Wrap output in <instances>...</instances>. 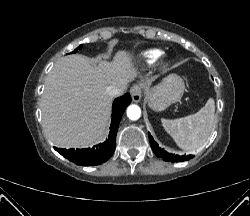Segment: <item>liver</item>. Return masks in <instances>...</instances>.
I'll use <instances>...</instances> for the list:
<instances>
[{"label": "liver", "mask_w": 250, "mask_h": 216, "mask_svg": "<svg viewBox=\"0 0 250 216\" xmlns=\"http://www.w3.org/2000/svg\"><path fill=\"white\" fill-rule=\"evenodd\" d=\"M132 57L119 51L112 62L96 65L83 55H68L55 63L41 100L42 126L60 148L87 147L104 132L112 106L107 87L126 88L136 78ZM149 82V81H148Z\"/></svg>", "instance_id": "obj_1"}]
</instances>
